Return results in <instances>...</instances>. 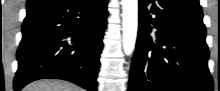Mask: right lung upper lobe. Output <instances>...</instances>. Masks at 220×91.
I'll return each instance as SVG.
<instances>
[{"label": "right lung upper lobe", "instance_id": "obj_1", "mask_svg": "<svg viewBox=\"0 0 220 91\" xmlns=\"http://www.w3.org/2000/svg\"><path fill=\"white\" fill-rule=\"evenodd\" d=\"M41 1H43V0H29V2H30L31 4L38 3V2H41Z\"/></svg>", "mask_w": 220, "mask_h": 91}]
</instances>
